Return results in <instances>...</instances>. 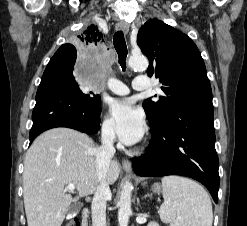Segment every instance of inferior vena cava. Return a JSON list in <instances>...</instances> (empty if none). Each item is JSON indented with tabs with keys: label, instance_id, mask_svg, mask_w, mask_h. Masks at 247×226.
I'll use <instances>...</instances> for the list:
<instances>
[{
	"label": "inferior vena cava",
	"instance_id": "obj_1",
	"mask_svg": "<svg viewBox=\"0 0 247 226\" xmlns=\"http://www.w3.org/2000/svg\"><path fill=\"white\" fill-rule=\"evenodd\" d=\"M114 139L115 132L113 127L111 125L103 126L101 146L95 151L96 170L100 185L97 187L91 205L93 226H106V202L107 198L111 196V191L105 178L111 159L115 154Z\"/></svg>",
	"mask_w": 247,
	"mask_h": 226
}]
</instances>
